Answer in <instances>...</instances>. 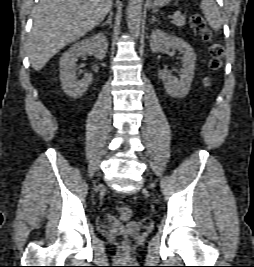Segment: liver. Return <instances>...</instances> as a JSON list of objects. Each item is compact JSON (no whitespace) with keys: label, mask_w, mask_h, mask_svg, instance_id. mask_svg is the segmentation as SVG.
Returning <instances> with one entry per match:
<instances>
[{"label":"liver","mask_w":254,"mask_h":267,"mask_svg":"<svg viewBox=\"0 0 254 267\" xmlns=\"http://www.w3.org/2000/svg\"><path fill=\"white\" fill-rule=\"evenodd\" d=\"M111 8L112 0H40L29 35L32 68L40 71L62 48L103 21Z\"/></svg>","instance_id":"6515ba94"}]
</instances>
